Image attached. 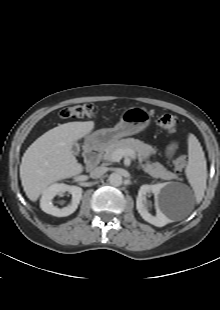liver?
<instances>
[{
    "label": "liver",
    "instance_id": "1",
    "mask_svg": "<svg viewBox=\"0 0 220 310\" xmlns=\"http://www.w3.org/2000/svg\"><path fill=\"white\" fill-rule=\"evenodd\" d=\"M93 121L59 125L36 139L26 150L20 165V179L26 196L33 202L56 181L82 173L83 166L72 153V145L87 136Z\"/></svg>",
    "mask_w": 220,
    "mask_h": 310
}]
</instances>
